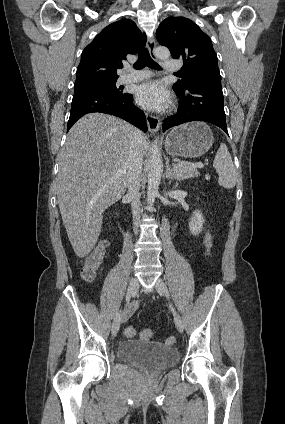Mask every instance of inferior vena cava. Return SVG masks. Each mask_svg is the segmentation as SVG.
I'll return each instance as SVG.
<instances>
[{"instance_id":"obj_1","label":"inferior vena cava","mask_w":285,"mask_h":424,"mask_svg":"<svg viewBox=\"0 0 285 424\" xmlns=\"http://www.w3.org/2000/svg\"><path fill=\"white\" fill-rule=\"evenodd\" d=\"M141 132L135 131L134 137L131 140L129 155L126 161L127 165V187L128 195L131 198V207L133 214L134 232L138 233V222L140 219V181L143 164V151L140 145Z\"/></svg>"}]
</instances>
